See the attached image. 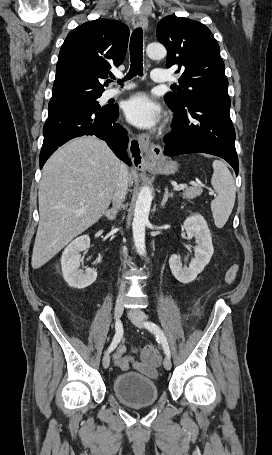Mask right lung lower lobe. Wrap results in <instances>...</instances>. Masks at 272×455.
<instances>
[{
	"label": "right lung lower lobe",
	"instance_id": "right-lung-lower-lobe-1",
	"mask_svg": "<svg viewBox=\"0 0 272 455\" xmlns=\"http://www.w3.org/2000/svg\"><path fill=\"white\" fill-rule=\"evenodd\" d=\"M117 117L118 107L107 110L69 109L48 115L43 127L40 168L59 146L83 135H95L106 141L118 158L131 165L126 151L128 136L123 127L115 123Z\"/></svg>",
	"mask_w": 272,
	"mask_h": 455
}]
</instances>
